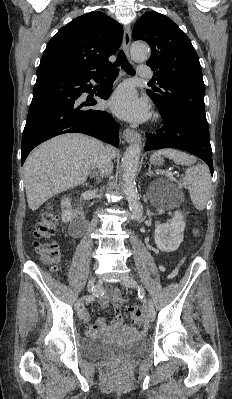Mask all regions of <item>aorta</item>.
<instances>
[{"instance_id": "obj_1", "label": "aorta", "mask_w": 232, "mask_h": 399, "mask_svg": "<svg viewBox=\"0 0 232 399\" xmlns=\"http://www.w3.org/2000/svg\"><path fill=\"white\" fill-rule=\"evenodd\" d=\"M130 55L136 62L145 61L149 55V47L145 43H134L131 46ZM140 155L141 146L133 144L126 149L122 160L123 192L134 219L139 218L142 213V206L139 203L140 197L135 183Z\"/></svg>"}]
</instances>
